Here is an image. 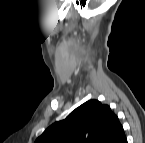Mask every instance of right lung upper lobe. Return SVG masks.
<instances>
[{"label": "right lung upper lobe", "mask_w": 145, "mask_h": 143, "mask_svg": "<svg viewBox=\"0 0 145 143\" xmlns=\"http://www.w3.org/2000/svg\"><path fill=\"white\" fill-rule=\"evenodd\" d=\"M35 143H127V139L110 107L89 100L49 126Z\"/></svg>", "instance_id": "1"}]
</instances>
